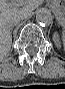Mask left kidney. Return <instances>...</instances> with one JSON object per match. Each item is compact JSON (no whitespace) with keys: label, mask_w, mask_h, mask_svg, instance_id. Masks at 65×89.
<instances>
[{"label":"left kidney","mask_w":65,"mask_h":89,"mask_svg":"<svg viewBox=\"0 0 65 89\" xmlns=\"http://www.w3.org/2000/svg\"><path fill=\"white\" fill-rule=\"evenodd\" d=\"M53 41L56 44V46H58V47L60 46L59 38H58V36L56 34L53 37Z\"/></svg>","instance_id":"1"}]
</instances>
